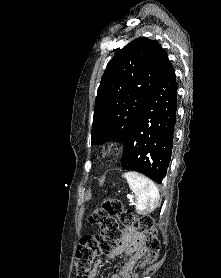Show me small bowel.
I'll return each mask as SVG.
<instances>
[{
	"instance_id": "obj_1",
	"label": "small bowel",
	"mask_w": 221,
	"mask_h": 278,
	"mask_svg": "<svg viewBox=\"0 0 221 278\" xmlns=\"http://www.w3.org/2000/svg\"><path fill=\"white\" fill-rule=\"evenodd\" d=\"M123 253L129 256V258L127 261L121 263L119 273L113 275L111 278H135L132 272L133 265L138 259L144 256L143 236L138 230L125 227L121 240L116 247L106 255V258L112 259ZM101 264V259L95 262L90 272V278H97Z\"/></svg>"
}]
</instances>
